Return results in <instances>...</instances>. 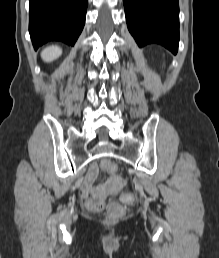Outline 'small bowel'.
<instances>
[{
	"instance_id": "c3829d8e",
	"label": "small bowel",
	"mask_w": 219,
	"mask_h": 258,
	"mask_svg": "<svg viewBox=\"0 0 219 258\" xmlns=\"http://www.w3.org/2000/svg\"><path fill=\"white\" fill-rule=\"evenodd\" d=\"M97 173H98V169L96 167H93L90 170L88 177L85 180L83 185L85 192H88L92 187V184L97 176ZM128 182H129L128 179H110L109 180V183L111 184V188L113 190L120 188L121 184H128Z\"/></svg>"
}]
</instances>
